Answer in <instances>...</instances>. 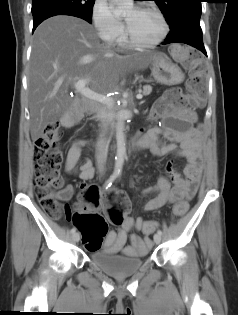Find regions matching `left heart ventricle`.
<instances>
[{
	"mask_svg": "<svg viewBox=\"0 0 238 315\" xmlns=\"http://www.w3.org/2000/svg\"><path fill=\"white\" fill-rule=\"evenodd\" d=\"M132 37L139 42H151L157 39L162 26L159 18L150 11L129 8L124 14Z\"/></svg>",
	"mask_w": 238,
	"mask_h": 315,
	"instance_id": "b2bd125f",
	"label": "left heart ventricle"
}]
</instances>
